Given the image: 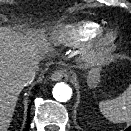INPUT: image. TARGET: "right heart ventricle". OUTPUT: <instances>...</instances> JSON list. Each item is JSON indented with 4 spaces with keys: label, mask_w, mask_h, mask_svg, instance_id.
I'll use <instances>...</instances> for the list:
<instances>
[{
    "label": "right heart ventricle",
    "mask_w": 131,
    "mask_h": 131,
    "mask_svg": "<svg viewBox=\"0 0 131 131\" xmlns=\"http://www.w3.org/2000/svg\"><path fill=\"white\" fill-rule=\"evenodd\" d=\"M102 30V25L94 21H84L60 27L57 32L59 42L76 45L93 39Z\"/></svg>",
    "instance_id": "1"
}]
</instances>
